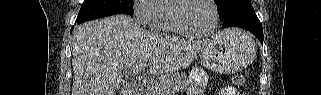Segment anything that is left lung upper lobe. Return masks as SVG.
Wrapping results in <instances>:
<instances>
[{
  "label": "left lung upper lobe",
  "mask_w": 321,
  "mask_h": 95,
  "mask_svg": "<svg viewBox=\"0 0 321 95\" xmlns=\"http://www.w3.org/2000/svg\"><path fill=\"white\" fill-rule=\"evenodd\" d=\"M215 3L218 7L220 19H223L234 9L251 4L250 0H215Z\"/></svg>",
  "instance_id": "1"
}]
</instances>
